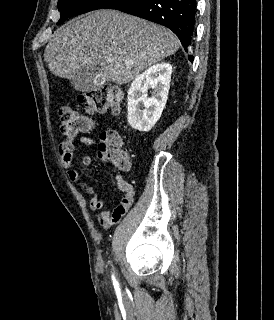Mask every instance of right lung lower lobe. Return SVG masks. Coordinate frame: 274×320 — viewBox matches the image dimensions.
<instances>
[{"mask_svg":"<svg viewBox=\"0 0 274 320\" xmlns=\"http://www.w3.org/2000/svg\"><path fill=\"white\" fill-rule=\"evenodd\" d=\"M103 9L119 10L171 29L185 51L192 46L196 21V0H113ZM192 61L193 57L188 56Z\"/></svg>","mask_w":274,"mask_h":320,"instance_id":"1","label":"right lung lower lobe"}]
</instances>
